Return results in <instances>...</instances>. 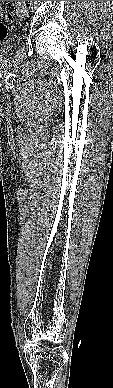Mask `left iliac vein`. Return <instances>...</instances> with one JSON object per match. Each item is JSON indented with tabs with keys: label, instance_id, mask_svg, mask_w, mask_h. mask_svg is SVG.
Listing matches in <instances>:
<instances>
[{
	"label": "left iliac vein",
	"instance_id": "obj_1",
	"mask_svg": "<svg viewBox=\"0 0 113 388\" xmlns=\"http://www.w3.org/2000/svg\"><path fill=\"white\" fill-rule=\"evenodd\" d=\"M16 10H17V15L20 18H24L27 15L26 6L24 4V1H16Z\"/></svg>",
	"mask_w": 113,
	"mask_h": 388
}]
</instances>
